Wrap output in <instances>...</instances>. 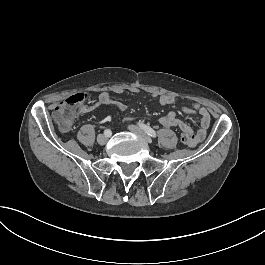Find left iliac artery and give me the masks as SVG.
<instances>
[{
  "label": "left iliac artery",
  "instance_id": "left-iliac-artery-1",
  "mask_svg": "<svg viewBox=\"0 0 265 265\" xmlns=\"http://www.w3.org/2000/svg\"><path fill=\"white\" fill-rule=\"evenodd\" d=\"M139 126L151 137L156 138V132L149 126L140 123Z\"/></svg>",
  "mask_w": 265,
  "mask_h": 265
}]
</instances>
